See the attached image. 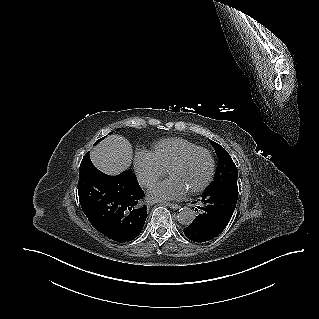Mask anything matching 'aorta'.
<instances>
[{
    "label": "aorta",
    "mask_w": 319,
    "mask_h": 319,
    "mask_svg": "<svg viewBox=\"0 0 319 319\" xmlns=\"http://www.w3.org/2000/svg\"><path fill=\"white\" fill-rule=\"evenodd\" d=\"M195 218L194 211L189 207L179 209L177 220L182 225H190Z\"/></svg>",
    "instance_id": "1"
}]
</instances>
